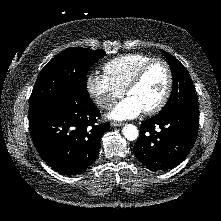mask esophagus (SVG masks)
I'll list each match as a JSON object with an SVG mask.
<instances>
[{
    "label": "esophagus",
    "instance_id": "obj_1",
    "mask_svg": "<svg viewBox=\"0 0 221 221\" xmlns=\"http://www.w3.org/2000/svg\"><path fill=\"white\" fill-rule=\"evenodd\" d=\"M124 123H122V122H111V126L112 127H120V126H122Z\"/></svg>",
    "mask_w": 221,
    "mask_h": 221
}]
</instances>
